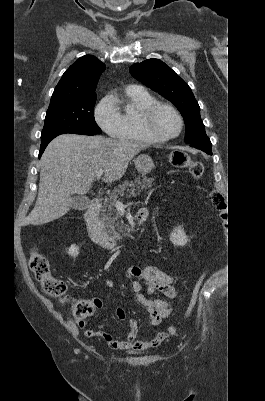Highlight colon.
Returning <instances> with one entry per match:
<instances>
[{
  "label": "colon",
  "instance_id": "5ec220e1",
  "mask_svg": "<svg viewBox=\"0 0 265 401\" xmlns=\"http://www.w3.org/2000/svg\"><path fill=\"white\" fill-rule=\"evenodd\" d=\"M169 159L174 167L188 169L190 175L194 179H199L203 174L204 168L202 163L192 160L191 157L183 151L172 152L169 155ZM209 199L219 214L224 218L227 217L229 209L225 197L220 192L213 190L209 194ZM30 267L36 279L40 282L43 291L47 295L61 300L66 299V283L52 274L49 261L37 250L32 252ZM204 278L205 274L201 275L193 287L190 302L186 310V318L192 314L196 306L197 298ZM99 306L100 301L98 299H81L72 304V316L76 321L82 323L86 318L91 316ZM176 330V327H169L165 333L168 336L170 334H174Z\"/></svg>",
  "mask_w": 265,
  "mask_h": 401
}]
</instances>
